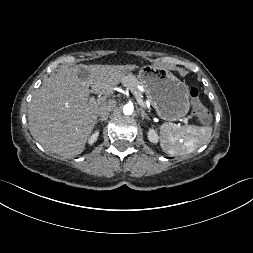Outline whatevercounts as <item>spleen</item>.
Returning a JSON list of instances; mask_svg holds the SVG:
<instances>
[{
	"instance_id": "3e777b00",
	"label": "spleen",
	"mask_w": 253,
	"mask_h": 253,
	"mask_svg": "<svg viewBox=\"0 0 253 253\" xmlns=\"http://www.w3.org/2000/svg\"><path fill=\"white\" fill-rule=\"evenodd\" d=\"M211 126H178L164 123L160 127V145L171 156L189 154L209 142Z\"/></svg>"
}]
</instances>
